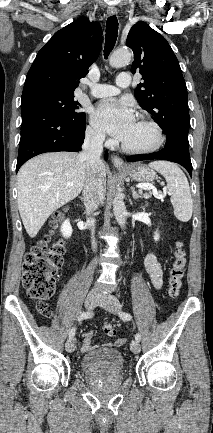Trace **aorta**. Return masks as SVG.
<instances>
[{
    "label": "aorta",
    "mask_w": 213,
    "mask_h": 433,
    "mask_svg": "<svg viewBox=\"0 0 213 433\" xmlns=\"http://www.w3.org/2000/svg\"><path fill=\"white\" fill-rule=\"evenodd\" d=\"M131 60V53L128 49H118L116 50L110 57L109 63L111 67L120 68L127 65ZM113 213L121 227H124L126 224V206L123 200V196L121 193H116L115 198L113 200Z\"/></svg>",
    "instance_id": "1"
}]
</instances>
